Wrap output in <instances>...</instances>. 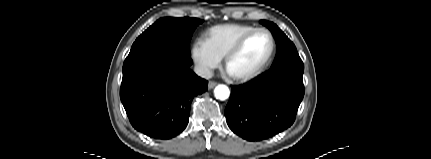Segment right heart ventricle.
I'll list each match as a JSON object with an SVG mask.
<instances>
[{"label": "right heart ventricle", "instance_id": "right-heart-ventricle-1", "mask_svg": "<svg viewBox=\"0 0 431 159\" xmlns=\"http://www.w3.org/2000/svg\"><path fill=\"white\" fill-rule=\"evenodd\" d=\"M254 29L256 27L247 24L215 25L205 32V40L221 58H224L243 35Z\"/></svg>", "mask_w": 431, "mask_h": 159}]
</instances>
